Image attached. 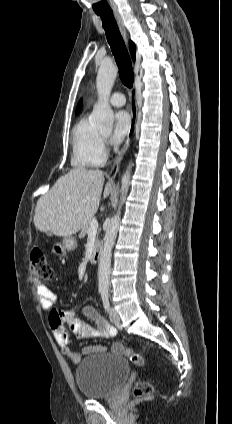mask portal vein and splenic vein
<instances>
[{"label":"portal vein and splenic vein","instance_id":"obj_1","mask_svg":"<svg viewBox=\"0 0 232 424\" xmlns=\"http://www.w3.org/2000/svg\"><path fill=\"white\" fill-rule=\"evenodd\" d=\"M97 229H98V222H97V220L93 219L91 221V226L89 228V232L90 233H95V232H97Z\"/></svg>","mask_w":232,"mask_h":424}]
</instances>
